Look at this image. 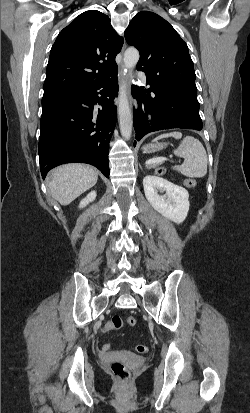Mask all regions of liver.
Returning <instances> with one entry per match:
<instances>
[{"mask_svg": "<svg viewBox=\"0 0 250 413\" xmlns=\"http://www.w3.org/2000/svg\"><path fill=\"white\" fill-rule=\"evenodd\" d=\"M97 179V171L90 166L65 164L52 171L49 189L52 197L65 206L93 187Z\"/></svg>", "mask_w": 250, "mask_h": 413, "instance_id": "obj_1", "label": "liver"}]
</instances>
